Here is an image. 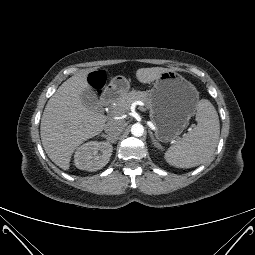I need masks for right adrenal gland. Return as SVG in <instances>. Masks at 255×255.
I'll use <instances>...</instances> for the list:
<instances>
[{
	"label": "right adrenal gland",
	"mask_w": 255,
	"mask_h": 255,
	"mask_svg": "<svg viewBox=\"0 0 255 255\" xmlns=\"http://www.w3.org/2000/svg\"><path fill=\"white\" fill-rule=\"evenodd\" d=\"M101 136H103L106 140H107V143H113L114 141L111 140V138H109L107 135L105 134H102Z\"/></svg>",
	"instance_id": "obj_1"
}]
</instances>
